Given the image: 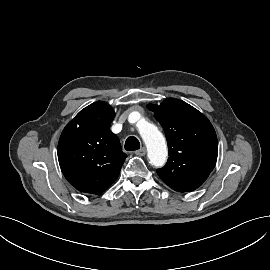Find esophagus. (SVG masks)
Listing matches in <instances>:
<instances>
[{
  "instance_id": "esophagus-1",
  "label": "esophagus",
  "mask_w": 270,
  "mask_h": 270,
  "mask_svg": "<svg viewBox=\"0 0 270 270\" xmlns=\"http://www.w3.org/2000/svg\"><path fill=\"white\" fill-rule=\"evenodd\" d=\"M135 154L137 156H144L146 154V148L145 147H142L141 149L135 151Z\"/></svg>"
}]
</instances>
